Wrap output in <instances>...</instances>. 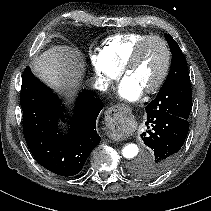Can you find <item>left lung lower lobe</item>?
<instances>
[{
	"instance_id": "1",
	"label": "left lung lower lobe",
	"mask_w": 211,
	"mask_h": 211,
	"mask_svg": "<svg viewBox=\"0 0 211 211\" xmlns=\"http://www.w3.org/2000/svg\"><path fill=\"white\" fill-rule=\"evenodd\" d=\"M148 131L141 138L151 153L149 161H143L138 168L147 178H154L167 171L176 161L187 137L189 122L186 119L162 114L147 117Z\"/></svg>"
}]
</instances>
